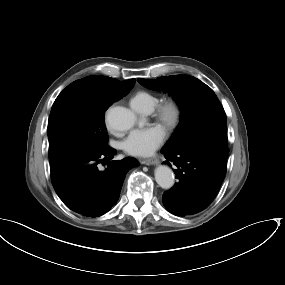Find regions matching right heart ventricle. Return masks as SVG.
Masks as SVG:
<instances>
[{
    "label": "right heart ventricle",
    "instance_id": "e07e8e85",
    "mask_svg": "<svg viewBox=\"0 0 285 285\" xmlns=\"http://www.w3.org/2000/svg\"><path fill=\"white\" fill-rule=\"evenodd\" d=\"M130 103L136 111H151L157 105L158 98L149 92L139 91L131 98Z\"/></svg>",
    "mask_w": 285,
    "mask_h": 285
}]
</instances>
